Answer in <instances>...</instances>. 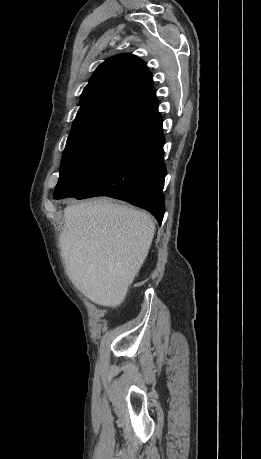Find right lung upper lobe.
Masks as SVG:
<instances>
[{
  "instance_id": "cb5924a9",
  "label": "right lung upper lobe",
  "mask_w": 261,
  "mask_h": 459,
  "mask_svg": "<svg viewBox=\"0 0 261 459\" xmlns=\"http://www.w3.org/2000/svg\"><path fill=\"white\" fill-rule=\"evenodd\" d=\"M80 105L69 138L108 125L154 128L162 122L151 72L132 54L116 55L100 64L83 90Z\"/></svg>"
}]
</instances>
